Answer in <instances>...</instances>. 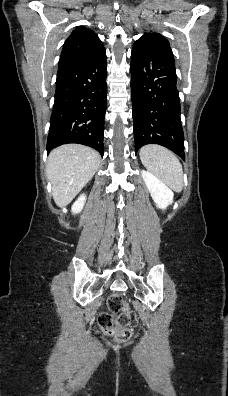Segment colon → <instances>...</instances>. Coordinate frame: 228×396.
I'll list each match as a JSON object with an SVG mask.
<instances>
[{
  "instance_id": "5ec220e1",
  "label": "colon",
  "mask_w": 228,
  "mask_h": 396,
  "mask_svg": "<svg viewBox=\"0 0 228 396\" xmlns=\"http://www.w3.org/2000/svg\"><path fill=\"white\" fill-rule=\"evenodd\" d=\"M108 312L99 315L100 327L112 335L118 342L127 341L132 336L133 329L138 325L136 314L129 310L123 295L119 292L111 294L108 300ZM113 313H119L114 316Z\"/></svg>"
}]
</instances>
